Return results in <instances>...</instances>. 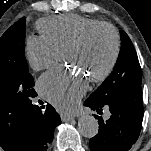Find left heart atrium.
<instances>
[{"label":"left heart atrium","instance_id":"1","mask_svg":"<svg viewBox=\"0 0 151 151\" xmlns=\"http://www.w3.org/2000/svg\"><path fill=\"white\" fill-rule=\"evenodd\" d=\"M41 94L61 111L71 110L88 89V80L82 74L64 68H55L39 79Z\"/></svg>","mask_w":151,"mask_h":151}]
</instances>
